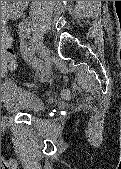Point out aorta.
I'll list each match as a JSON object with an SVG mask.
<instances>
[{
	"mask_svg": "<svg viewBox=\"0 0 121 169\" xmlns=\"http://www.w3.org/2000/svg\"><path fill=\"white\" fill-rule=\"evenodd\" d=\"M1 3L3 5H1L2 7L9 8L5 9L7 12L18 14L26 8L28 1H1Z\"/></svg>",
	"mask_w": 121,
	"mask_h": 169,
	"instance_id": "aorta-1",
	"label": "aorta"
}]
</instances>
